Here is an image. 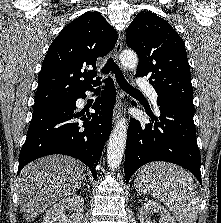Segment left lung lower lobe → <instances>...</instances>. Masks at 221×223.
<instances>
[{
  "label": "left lung lower lobe",
  "instance_id": "0a47b994",
  "mask_svg": "<svg viewBox=\"0 0 221 223\" xmlns=\"http://www.w3.org/2000/svg\"><path fill=\"white\" fill-rule=\"evenodd\" d=\"M136 106L134 101L131 102ZM159 119L152 113L150 123L131 119L125 152V179L146 163L166 161L189 170L202 184L200 153L193 121L195 109L165 101H157Z\"/></svg>",
  "mask_w": 221,
  "mask_h": 223
}]
</instances>
